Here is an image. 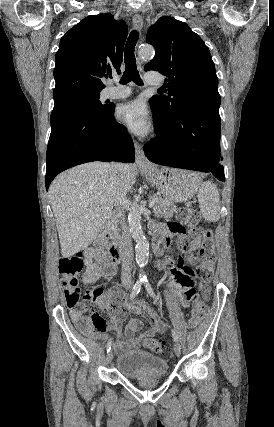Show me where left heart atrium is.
Segmentation results:
<instances>
[{
	"instance_id": "left-heart-atrium-1",
	"label": "left heart atrium",
	"mask_w": 274,
	"mask_h": 427,
	"mask_svg": "<svg viewBox=\"0 0 274 427\" xmlns=\"http://www.w3.org/2000/svg\"><path fill=\"white\" fill-rule=\"evenodd\" d=\"M116 117L135 134L145 133L150 127L148 112L139 101L120 105L116 110Z\"/></svg>"
}]
</instances>
